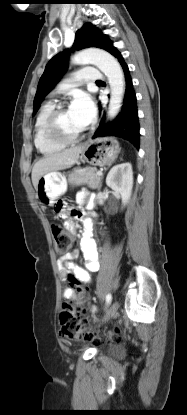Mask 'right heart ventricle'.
<instances>
[{"mask_svg":"<svg viewBox=\"0 0 187 415\" xmlns=\"http://www.w3.org/2000/svg\"><path fill=\"white\" fill-rule=\"evenodd\" d=\"M54 108V103L51 101L45 102L36 117L34 125V143L36 148L43 155H52L60 152L65 145L52 141L46 134L45 124L48 115Z\"/></svg>","mask_w":187,"mask_h":415,"instance_id":"obj_1","label":"right heart ventricle"}]
</instances>
